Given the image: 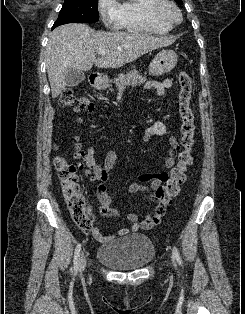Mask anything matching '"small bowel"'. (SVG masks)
I'll use <instances>...</instances> for the list:
<instances>
[{
  "instance_id": "obj_1",
  "label": "small bowel",
  "mask_w": 245,
  "mask_h": 314,
  "mask_svg": "<svg viewBox=\"0 0 245 314\" xmlns=\"http://www.w3.org/2000/svg\"><path fill=\"white\" fill-rule=\"evenodd\" d=\"M172 84L173 83L170 79H165L162 82L148 81L144 84V87L147 89L154 88L157 95L162 96L167 89L172 87ZM80 110L90 117L94 112V105L89 99L81 98ZM165 135H169V151L167 157L164 160V165L166 168L170 169L175 165V161L180 150V145L175 136L168 134L165 123L162 121H155L145 129L143 139L144 141H150L153 137H163ZM81 154L83 156L84 163L93 171L99 180V184L97 186V198L100 202V214L103 217L109 219L119 218V212L110 206L111 198L106 186V182L110 176V171L116 163L117 153L115 151H109L105 155L103 166H101L96 160L94 147H89L86 150L82 149ZM168 178L169 173L166 171H161L154 175H140L139 180L141 182H149V185L134 182L127 186V190L130 194H148L153 190H156L162 183L166 182ZM165 212L166 210L163 212H158L155 209L153 214H146L144 220L141 222H138L139 215L137 213L130 212L126 215V219L131 223V226L129 228L119 230L114 235H105L98 228H93L89 232L96 240L102 243H111L116 238L126 235L130 232L150 230L161 222Z\"/></svg>"
}]
</instances>
